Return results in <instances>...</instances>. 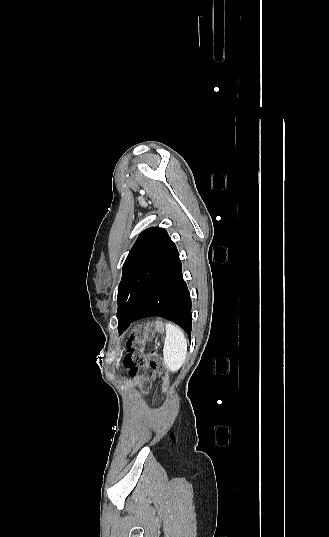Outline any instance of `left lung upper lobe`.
Wrapping results in <instances>:
<instances>
[{
    "instance_id": "1",
    "label": "left lung upper lobe",
    "mask_w": 329,
    "mask_h": 537,
    "mask_svg": "<svg viewBox=\"0 0 329 537\" xmlns=\"http://www.w3.org/2000/svg\"><path fill=\"white\" fill-rule=\"evenodd\" d=\"M178 254L164 228L144 230L130 250L118 286V326L131 311L154 277Z\"/></svg>"
}]
</instances>
